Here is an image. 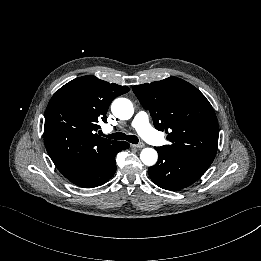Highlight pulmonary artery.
Masks as SVG:
<instances>
[{
	"mask_svg": "<svg viewBox=\"0 0 261 261\" xmlns=\"http://www.w3.org/2000/svg\"><path fill=\"white\" fill-rule=\"evenodd\" d=\"M131 126L134 127L137 132L140 134V136L144 139H149L152 141L150 138V127H149V117L148 114L144 110H138L137 113L135 114Z\"/></svg>",
	"mask_w": 261,
	"mask_h": 261,
	"instance_id": "pulmonary-artery-1",
	"label": "pulmonary artery"
}]
</instances>
